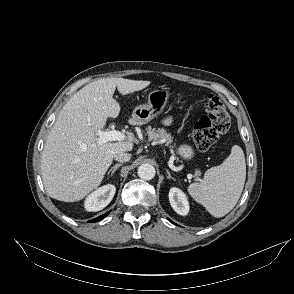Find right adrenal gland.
Masks as SVG:
<instances>
[{
	"label": "right adrenal gland",
	"mask_w": 294,
	"mask_h": 294,
	"mask_svg": "<svg viewBox=\"0 0 294 294\" xmlns=\"http://www.w3.org/2000/svg\"><path fill=\"white\" fill-rule=\"evenodd\" d=\"M122 166V164L121 163H117V164H115L113 167H111V169L108 171V176H109V174L111 173V176H113V174L115 173V171L119 168V167H121Z\"/></svg>",
	"instance_id": "right-adrenal-gland-1"
}]
</instances>
